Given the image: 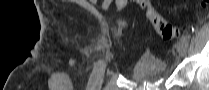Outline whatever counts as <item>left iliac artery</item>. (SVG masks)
I'll use <instances>...</instances> for the list:
<instances>
[{"label":"left iliac artery","mask_w":209,"mask_h":90,"mask_svg":"<svg viewBox=\"0 0 209 90\" xmlns=\"http://www.w3.org/2000/svg\"><path fill=\"white\" fill-rule=\"evenodd\" d=\"M181 41L188 46V40H187V38L185 36L181 37Z\"/></svg>","instance_id":"left-iliac-artery-1"}]
</instances>
